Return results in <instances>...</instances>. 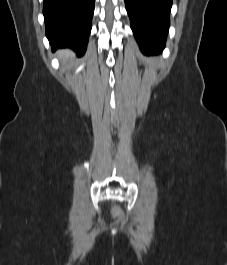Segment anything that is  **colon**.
I'll return each instance as SVG.
<instances>
[{
  "label": "colon",
  "mask_w": 227,
  "mask_h": 265,
  "mask_svg": "<svg viewBox=\"0 0 227 265\" xmlns=\"http://www.w3.org/2000/svg\"><path fill=\"white\" fill-rule=\"evenodd\" d=\"M112 213L117 218H122V216H123L122 210L120 208L116 207V206H114L112 208Z\"/></svg>",
  "instance_id": "1"
}]
</instances>
